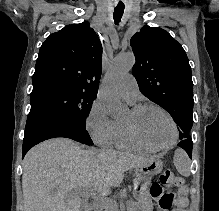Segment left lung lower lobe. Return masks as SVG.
Segmentation results:
<instances>
[{"mask_svg":"<svg viewBox=\"0 0 219 211\" xmlns=\"http://www.w3.org/2000/svg\"><path fill=\"white\" fill-rule=\"evenodd\" d=\"M178 146L183 148L188 153L190 158L192 157V140L190 138L182 140Z\"/></svg>","mask_w":219,"mask_h":211,"instance_id":"left-lung-lower-lobe-1","label":"left lung lower lobe"}]
</instances>
